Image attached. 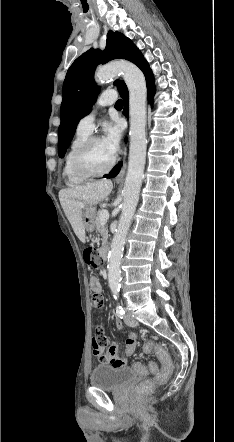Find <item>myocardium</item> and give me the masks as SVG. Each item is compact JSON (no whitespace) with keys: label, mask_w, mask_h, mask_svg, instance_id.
Segmentation results:
<instances>
[{"label":"myocardium","mask_w":234,"mask_h":442,"mask_svg":"<svg viewBox=\"0 0 234 442\" xmlns=\"http://www.w3.org/2000/svg\"><path fill=\"white\" fill-rule=\"evenodd\" d=\"M100 140L101 138L98 136H90L76 150L73 156V167L78 175L85 178L100 177L109 173L114 168L116 164L115 156L110 164L103 170L94 171L87 165L86 158L91 146Z\"/></svg>","instance_id":"f54148a6"}]
</instances>
